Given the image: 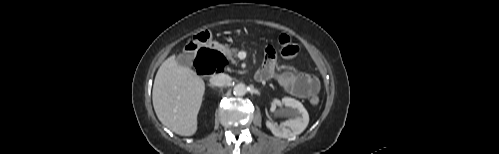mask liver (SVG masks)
<instances>
[{"label":"liver","mask_w":499,"mask_h":154,"mask_svg":"<svg viewBox=\"0 0 499 154\" xmlns=\"http://www.w3.org/2000/svg\"><path fill=\"white\" fill-rule=\"evenodd\" d=\"M204 92L202 78L170 56L158 69L153 85L152 101L158 119L178 135H194Z\"/></svg>","instance_id":"obj_1"}]
</instances>
